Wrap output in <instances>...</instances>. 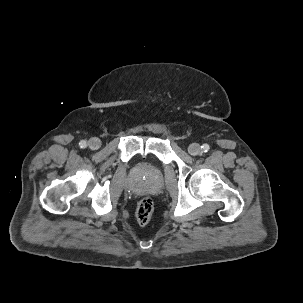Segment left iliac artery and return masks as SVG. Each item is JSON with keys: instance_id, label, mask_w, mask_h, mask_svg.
<instances>
[{"instance_id": "obj_1", "label": "left iliac artery", "mask_w": 303, "mask_h": 303, "mask_svg": "<svg viewBox=\"0 0 303 303\" xmlns=\"http://www.w3.org/2000/svg\"><path fill=\"white\" fill-rule=\"evenodd\" d=\"M209 149H210V146H209L208 144H203V145L201 146V150H202L203 152H208Z\"/></svg>"}]
</instances>
